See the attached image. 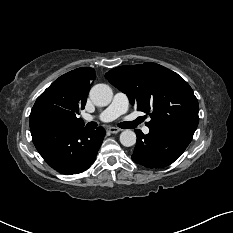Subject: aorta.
Listing matches in <instances>:
<instances>
[{
    "mask_svg": "<svg viewBox=\"0 0 233 233\" xmlns=\"http://www.w3.org/2000/svg\"><path fill=\"white\" fill-rule=\"evenodd\" d=\"M113 97L112 89L106 84H97L90 90V98L96 106L103 107L110 104ZM120 142L123 146L130 147L136 143V134L130 129L120 134Z\"/></svg>",
    "mask_w": 233,
    "mask_h": 233,
    "instance_id": "aorta-1",
    "label": "aorta"
}]
</instances>
